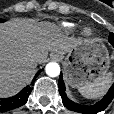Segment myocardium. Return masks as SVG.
Instances as JSON below:
<instances>
[{
  "mask_svg": "<svg viewBox=\"0 0 114 114\" xmlns=\"http://www.w3.org/2000/svg\"><path fill=\"white\" fill-rule=\"evenodd\" d=\"M86 33H90V30L87 29V30H86Z\"/></svg>",
  "mask_w": 114,
  "mask_h": 114,
  "instance_id": "myocardium-1",
  "label": "myocardium"
}]
</instances>
